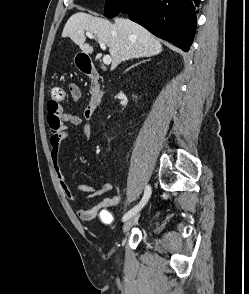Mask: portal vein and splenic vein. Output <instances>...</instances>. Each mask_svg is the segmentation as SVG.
<instances>
[{
	"label": "portal vein and splenic vein",
	"instance_id": "18ae733b",
	"mask_svg": "<svg viewBox=\"0 0 249 294\" xmlns=\"http://www.w3.org/2000/svg\"><path fill=\"white\" fill-rule=\"evenodd\" d=\"M86 35L88 37H90V38H94V36L90 32H86ZM98 41H99V44H100L101 49L106 50L105 43L103 41H101V40H98ZM111 61H112V59H111V56L110 55H104V57H103V63L105 65H109L111 63Z\"/></svg>",
	"mask_w": 249,
	"mask_h": 294
}]
</instances>
